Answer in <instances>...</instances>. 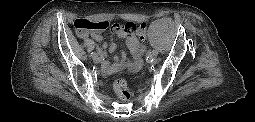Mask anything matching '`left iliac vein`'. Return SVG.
<instances>
[{
	"instance_id": "left-iliac-vein-1",
	"label": "left iliac vein",
	"mask_w": 255,
	"mask_h": 122,
	"mask_svg": "<svg viewBox=\"0 0 255 122\" xmlns=\"http://www.w3.org/2000/svg\"><path fill=\"white\" fill-rule=\"evenodd\" d=\"M151 63H152L153 65H155V64L158 63V58H157L155 55L152 56V58H151Z\"/></svg>"
}]
</instances>
